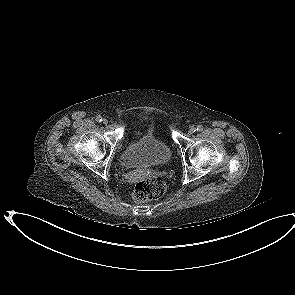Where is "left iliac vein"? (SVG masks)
<instances>
[{"label":"left iliac vein","mask_w":295,"mask_h":295,"mask_svg":"<svg viewBox=\"0 0 295 295\" xmlns=\"http://www.w3.org/2000/svg\"><path fill=\"white\" fill-rule=\"evenodd\" d=\"M196 131L195 127H191L188 131L189 134H193Z\"/></svg>","instance_id":"4c4485c4"}]
</instances>
